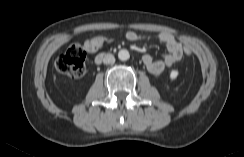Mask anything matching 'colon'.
Here are the masks:
<instances>
[{"mask_svg":"<svg viewBox=\"0 0 244 157\" xmlns=\"http://www.w3.org/2000/svg\"><path fill=\"white\" fill-rule=\"evenodd\" d=\"M110 39L98 35L88 39L84 45L72 44L55 61L57 71L73 79L81 78L85 73L86 51L94 52L109 43ZM184 54L190 56L191 48L184 47Z\"/></svg>","mask_w":244,"mask_h":157,"instance_id":"5ec220e1","label":"colon"}]
</instances>
